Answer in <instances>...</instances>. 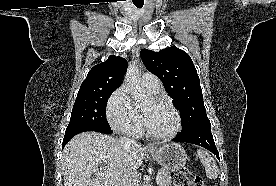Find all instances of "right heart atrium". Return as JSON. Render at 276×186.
<instances>
[{"label": "right heart atrium", "instance_id": "obj_1", "mask_svg": "<svg viewBox=\"0 0 276 186\" xmlns=\"http://www.w3.org/2000/svg\"><path fill=\"white\" fill-rule=\"evenodd\" d=\"M106 116L110 126L124 134H136L140 129V116L133 106L124 85L117 88L109 97Z\"/></svg>", "mask_w": 276, "mask_h": 186}]
</instances>
